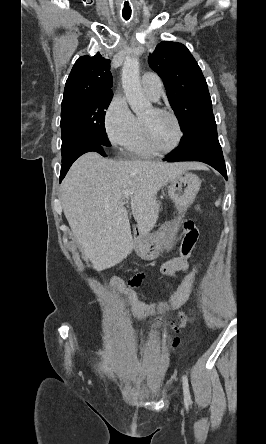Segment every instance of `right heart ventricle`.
Masks as SVG:
<instances>
[{"label":"right heart ventricle","instance_id":"e07e8e85","mask_svg":"<svg viewBox=\"0 0 266 444\" xmlns=\"http://www.w3.org/2000/svg\"><path fill=\"white\" fill-rule=\"evenodd\" d=\"M124 152L127 156L132 158H151L156 155L151 151L143 138L141 119L134 117V126L132 133L124 146Z\"/></svg>","mask_w":266,"mask_h":444}]
</instances>
